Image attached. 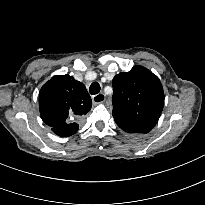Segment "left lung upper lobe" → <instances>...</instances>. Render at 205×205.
I'll use <instances>...</instances> for the list:
<instances>
[{"mask_svg": "<svg viewBox=\"0 0 205 205\" xmlns=\"http://www.w3.org/2000/svg\"><path fill=\"white\" fill-rule=\"evenodd\" d=\"M113 117L128 133H148L157 124L164 105L163 87L156 75L142 66L117 74L112 80Z\"/></svg>", "mask_w": 205, "mask_h": 205, "instance_id": "left-lung-upper-lobe-1", "label": "left lung upper lobe"}]
</instances>
